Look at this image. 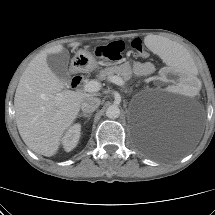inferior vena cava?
<instances>
[{
  "label": "inferior vena cava",
  "mask_w": 215,
  "mask_h": 215,
  "mask_svg": "<svg viewBox=\"0 0 215 215\" xmlns=\"http://www.w3.org/2000/svg\"><path fill=\"white\" fill-rule=\"evenodd\" d=\"M100 103L99 98L88 97L81 103V109L84 113H92L99 107Z\"/></svg>",
  "instance_id": "inferior-vena-cava-1"
}]
</instances>
